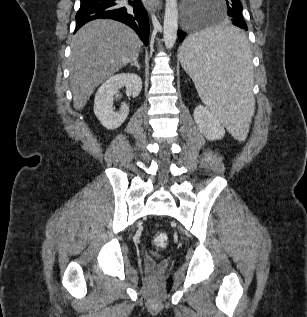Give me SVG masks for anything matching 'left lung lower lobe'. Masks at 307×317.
Returning <instances> with one entry per match:
<instances>
[{
  "mask_svg": "<svg viewBox=\"0 0 307 317\" xmlns=\"http://www.w3.org/2000/svg\"><path fill=\"white\" fill-rule=\"evenodd\" d=\"M230 17V16H229ZM230 22L235 25L238 26L239 28H241L243 31H241V35L237 36V37H226L223 41H222V45L225 49L229 50V51H237L239 49H241L243 47V45L246 43L247 38H246V34L244 33V31L248 30L247 25L245 23V21H242L240 18L238 17H230ZM186 36V32L184 31H179L178 30V38H179V42H182L184 40Z\"/></svg>",
  "mask_w": 307,
  "mask_h": 317,
  "instance_id": "1",
  "label": "left lung lower lobe"
}]
</instances>
